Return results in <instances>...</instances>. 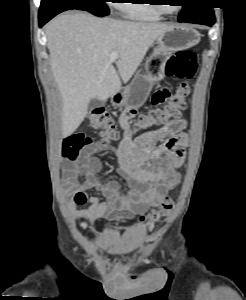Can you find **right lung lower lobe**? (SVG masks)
<instances>
[{
  "instance_id": "right-lung-lower-lobe-1",
  "label": "right lung lower lobe",
  "mask_w": 246,
  "mask_h": 300,
  "mask_svg": "<svg viewBox=\"0 0 246 300\" xmlns=\"http://www.w3.org/2000/svg\"><path fill=\"white\" fill-rule=\"evenodd\" d=\"M71 9H78V8L70 7V6H60V7L53 8L46 13L39 14V27H42L44 24H46L50 19H52L57 14Z\"/></svg>"
}]
</instances>
